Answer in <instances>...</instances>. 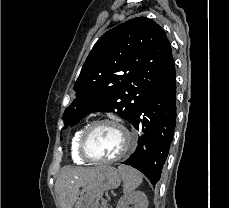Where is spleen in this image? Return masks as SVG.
Masks as SVG:
<instances>
[{"label": "spleen", "instance_id": "spleen-1", "mask_svg": "<svg viewBox=\"0 0 229 208\" xmlns=\"http://www.w3.org/2000/svg\"><path fill=\"white\" fill-rule=\"evenodd\" d=\"M118 170L123 180L124 194H131L133 190H136V188L142 184L143 178L140 172H137V170H134V168H130V166H124V164H121Z\"/></svg>", "mask_w": 229, "mask_h": 208}]
</instances>
